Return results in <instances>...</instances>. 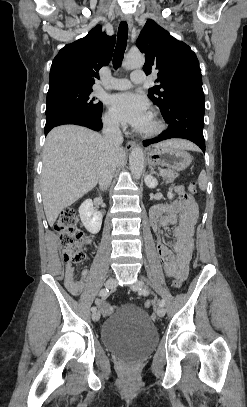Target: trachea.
<instances>
[{"mask_svg": "<svg viewBox=\"0 0 247 407\" xmlns=\"http://www.w3.org/2000/svg\"><path fill=\"white\" fill-rule=\"evenodd\" d=\"M128 39V24L126 21H122L118 28L117 44L114 50L113 66L118 69L122 63L123 55L126 50Z\"/></svg>", "mask_w": 247, "mask_h": 407, "instance_id": "1", "label": "trachea"}]
</instances>
